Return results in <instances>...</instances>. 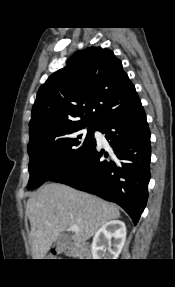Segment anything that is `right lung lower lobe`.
I'll return each mask as SVG.
<instances>
[{
    "label": "right lung lower lobe",
    "instance_id": "right-lung-lower-lobe-1",
    "mask_svg": "<svg viewBox=\"0 0 175 287\" xmlns=\"http://www.w3.org/2000/svg\"><path fill=\"white\" fill-rule=\"evenodd\" d=\"M98 131L109 140L113 154L94 147L80 164L52 181L117 203L136 224L148 199L151 158L150 131L141 102L103 121Z\"/></svg>",
    "mask_w": 175,
    "mask_h": 287
}]
</instances>
